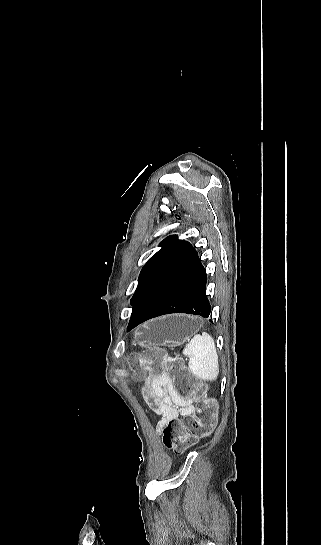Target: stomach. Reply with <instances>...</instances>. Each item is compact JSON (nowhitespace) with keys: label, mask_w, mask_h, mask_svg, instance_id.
I'll return each instance as SVG.
<instances>
[{"label":"stomach","mask_w":321,"mask_h":545,"mask_svg":"<svg viewBox=\"0 0 321 545\" xmlns=\"http://www.w3.org/2000/svg\"><path fill=\"white\" fill-rule=\"evenodd\" d=\"M202 327L201 319L188 315H167L144 325L133 331V345L143 349L152 347H178Z\"/></svg>","instance_id":"1"}]
</instances>
